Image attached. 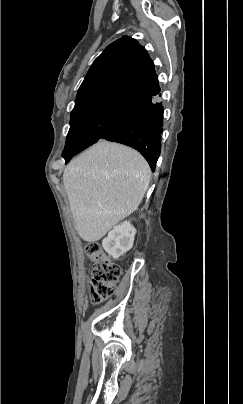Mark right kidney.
Wrapping results in <instances>:
<instances>
[{"label": "right kidney", "instance_id": "ca27d5eb", "mask_svg": "<svg viewBox=\"0 0 243 404\" xmlns=\"http://www.w3.org/2000/svg\"><path fill=\"white\" fill-rule=\"evenodd\" d=\"M136 230L130 222H122L119 226H115L109 232L107 238L102 240V248L105 252L112 256L114 260H118L120 256L131 250L135 238Z\"/></svg>", "mask_w": 243, "mask_h": 404}]
</instances>
